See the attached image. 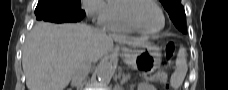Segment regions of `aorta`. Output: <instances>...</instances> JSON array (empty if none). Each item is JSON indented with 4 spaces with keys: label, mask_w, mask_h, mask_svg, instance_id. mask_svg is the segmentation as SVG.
<instances>
[{
    "label": "aorta",
    "mask_w": 228,
    "mask_h": 90,
    "mask_svg": "<svg viewBox=\"0 0 228 90\" xmlns=\"http://www.w3.org/2000/svg\"><path fill=\"white\" fill-rule=\"evenodd\" d=\"M113 71V65H112V61L109 59H103L98 68H97V78L100 82H105L107 81Z\"/></svg>",
    "instance_id": "762f6f07"
}]
</instances>
